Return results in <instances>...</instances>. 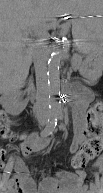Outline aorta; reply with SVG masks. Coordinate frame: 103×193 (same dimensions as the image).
I'll list each match as a JSON object with an SVG mask.
<instances>
[{"mask_svg": "<svg viewBox=\"0 0 103 193\" xmlns=\"http://www.w3.org/2000/svg\"><path fill=\"white\" fill-rule=\"evenodd\" d=\"M59 45L54 48L49 60H48V82L49 90L54 94L58 90L59 86V76H60V61H61V44L62 41H58ZM51 104L53 110H58V103L55 98L51 99Z\"/></svg>", "mask_w": 103, "mask_h": 193, "instance_id": "1", "label": "aorta"}]
</instances>
